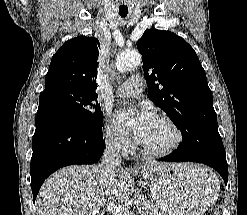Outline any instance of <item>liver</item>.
Segmentation results:
<instances>
[{"instance_id":"obj_1","label":"liver","mask_w":247,"mask_h":215,"mask_svg":"<svg viewBox=\"0 0 247 215\" xmlns=\"http://www.w3.org/2000/svg\"><path fill=\"white\" fill-rule=\"evenodd\" d=\"M167 165L145 164L141 178L147 181L153 172ZM197 166L184 164V170L195 172ZM133 188L130 174L122 168L109 180L99 165L68 166L52 174L42 185L37 210L39 215H103L105 206L123 203Z\"/></svg>"}]
</instances>
